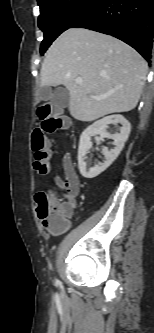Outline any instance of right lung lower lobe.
<instances>
[{
  "label": "right lung lower lobe",
  "instance_id": "right-lung-lower-lobe-1",
  "mask_svg": "<svg viewBox=\"0 0 154 333\" xmlns=\"http://www.w3.org/2000/svg\"><path fill=\"white\" fill-rule=\"evenodd\" d=\"M112 35L135 48L150 63L154 39V0H101L71 28Z\"/></svg>",
  "mask_w": 154,
  "mask_h": 333
}]
</instances>
